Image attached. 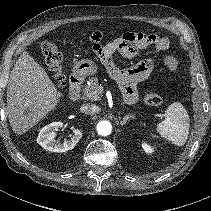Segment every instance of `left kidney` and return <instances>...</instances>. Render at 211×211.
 <instances>
[{
  "instance_id": "5707ae66",
  "label": "left kidney",
  "mask_w": 211,
  "mask_h": 211,
  "mask_svg": "<svg viewBox=\"0 0 211 211\" xmlns=\"http://www.w3.org/2000/svg\"><path fill=\"white\" fill-rule=\"evenodd\" d=\"M142 148H143V150L146 152V153H152V152H154V148L153 147H151L149 144H147V143H145V142H143L142 143Z\"/></svg>"
}]
</instances>
